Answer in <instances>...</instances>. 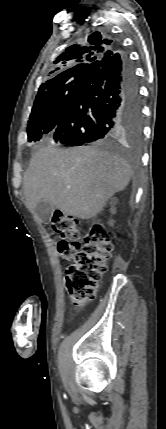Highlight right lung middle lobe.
Masks as SVG:
<instances>
[{
    "instance_id": "1",
    "label": "right lung middle lobe",
    "mask_w": 166,
    "mask_h": 429,
    "mask_svg": "<svg viewBox=\"0 0 166 429\" xmlns=\"http://www.w3.org/2000/svg\"><path fill=\"white\" fill-rule=\"evenodd\" d=\"M85 75L69 77L53 84L44 92L37 94L28 121V141H39L48 133L52 134L59 124L63 113L77 87ZM123 137L136 145L140 142L141 126L125 129Z\"/></svg>"
}]
</instances>
